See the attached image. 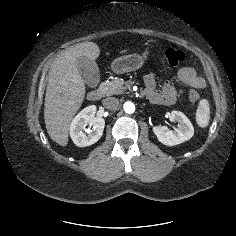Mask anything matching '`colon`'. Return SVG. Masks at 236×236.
<instances>
[{
    "instance_id": "5ec220e1",
    "label": "colon",
    "mask_w": 236,
    "mask_h": 236,
    "mask_svg": "<svg viewBox=\"0 0 236 236\" xmlns=\"http://www.w3.org/2000/svg\"><path fill=\"white\" fill-rule=\"evenodd\" d=\"M164 57L169 65L176 66L184 60V53L176 48H168L165 51ZM189 99L192 102H197L200 99V95L197 91L191 90L189 92Z\"/></svg>"
}]
</instances>
